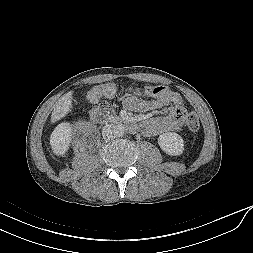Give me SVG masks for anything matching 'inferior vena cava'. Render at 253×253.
Returning <instances> with one entry per match:
<instances>
[{
    "label": "inferior vena cava",
    "mask_w": 253,
    "mask_h": 253,
    "mask_svg": "<svg viewBox=\"0 0 253 253\" xmlns=\"http://www.w3.org/2000/svg\"><path fill=\"white\" fill-rule=\"evenodd\" d=\"M102 136L105 140H111L115 137L114 126L106 125L103 127Z\"/></svg>",
    "instance_id": "602c4592"
}]
</instances>
